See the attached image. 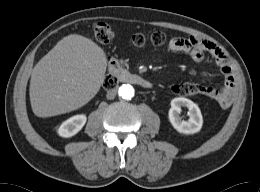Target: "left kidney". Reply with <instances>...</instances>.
Segmentation results:
<instances>
[{"instance_id": "left-kidney-1", "label": "left kidney", "mask_w": 260, "mask_h": 192, "mask_svg": "<svg viewBox=\"0 0 260 192\" xmlns=\"http://www.w3.org/2000/svg\"><path fill=\"white\" fill-rule=\"evenodd\" d=\"M170 104L168 117L174 129L183 134H194L201 130L203 117L197 104L184 97L174 98ZM181 107H187L189 110L187 121L180 117Z\"/></svg>"}]
</instances>
